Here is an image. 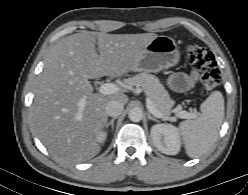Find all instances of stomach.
<instances>
[{
  "label": "stomach",
  "instance_id": "0dacf381",
  "mask_svg": "<svg viewBox=\"0 0 248 195\" xmlns=\"http://www.w3.org/2000/svg\"><path fill=\"white\" fill-rule=\"evenodd\" d=\"M180 52L175 40L168 36H157L141 51L134 71L156 73L178 64Z\"/></svg>",
  "mask_w": 248,
  "mask_h": 195
}]
</instances>
